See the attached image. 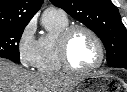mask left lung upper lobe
<instances>
[{
    "label": "left lung upper lobe",
    "instance_id": "obj_1",
    "mask_svg": "<svg viewBox=\"0 0 127 92\" xmlns=\"http://www.w3.org/2000/svg\"><path fill=\"white\" fill-rule=\"evenodd\" d=\"M93 30L102 40L108 65L127 59V32L111 0H50Z\"/></svg>",
    "mask_w": 127,
    "mask_h": 92
}]
</instances>
